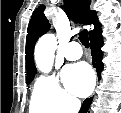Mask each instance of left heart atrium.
I'll use <instances>...</instances> for the list:
<instances>
[{
  "mask_svg": "<svg viewBox=\"0 0 121 113\" xmlns=\"http://www.w3.org/2000/svg\"><path fill=\"white\" fill-rule=\"evenodd\" d=\"M62 78L67 89L79 97L88 95L94 86L92 70L84 63L64 68Z\"/></svg>",
  "mask_w": 121,
  "mask_h": 113,
  "instance_id": "1",
  "label": "left heart atrium"
}]
</instances>
